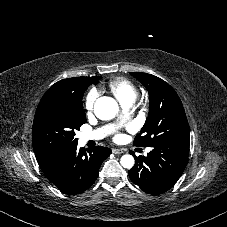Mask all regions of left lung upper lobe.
Returning a JSON list of instances; mask_svg holds the SVG:
<instances>
[{
	"label": "left lung upper lobe",
	"instance_id": "5c2ea615",
	"mask_svg": "<svg viewBox=\"0 0 227 227\" xmlns=\"http://www.w3.org/2000/svg\"><path fill=\"white\" fill-rule=\"evenodd\" d=\"M149 91V115L134 145L147 147L156 143L189 141V125L180 98L164 80L147 73L132 72Z\"/></svg>",
	"mask_w": 227,
	"mask_h": 227
}]
</instances>
